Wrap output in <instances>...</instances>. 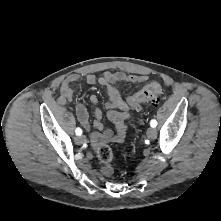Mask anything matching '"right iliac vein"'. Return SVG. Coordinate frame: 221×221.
I'll use <instances>...</instances> for the list:
<instances>
[{
  "label": "right iliac vein",
  "instance_id": "right-iliac-vein-1",
  "mask_svg": "<svg viewBox=\"0 0 221 221\" xmlns=\"http://www.w3.org/2000/svg\"><path fill=\"white\" fill-rule=\"evenodd\" d=\"M85 141H86V138H85V136H83V135H82V136L80 135V136H78V137L75 138V142H76L77 144H79V145H80V144H83Z\"/></svg>",
  "mask_w": 221,
  "mask_h": 221
}]
</instances>
